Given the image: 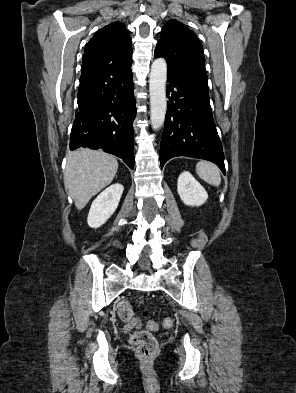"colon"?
<instances>
[{"mask_svg":"<svg viewBox=\"0 0 296 393\" xmlns=\"http://www.w3.org/2000/svg\"><path fill=\"white\" fill-rule=\"evenodd\" d=\"M118 314L125 321L133 317V310L128 301H121L119 303ZM172 325L173 321L170 318L163 321V326L166 328H170ZM157 328L158 325L156 322L152 320L147 322V329L149 331H155ZM149 331H138L130 336V343L137 348L139 356L143 359L152 358L158 350V344Z\"/></svg>","mask_w":296,"mask_h":393,"instance_id":"1","label":"colon"}]
</instances>
